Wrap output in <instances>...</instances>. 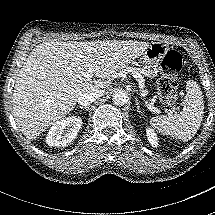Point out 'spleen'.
Segmentation results:
<instances>
[{
    "label": "spleen",
    "mask_w": 215,
    "mask_h": 215,
    "mask_svg": "<svg viewBox=\"0 0 215 215\" xmlns=\"http://www.w3.org/2000/svg\"><path fill=\"white\" fill-rule=\"evenodd\" d=\"M186 91L182 103L183 111L180 114L156 116L150 119V125L160 133L182 141L190 140L197 133L204 114L203 95L198 84L189 81Z\"/></svg>",
    "instance_id": "1"
}]
</instances>
